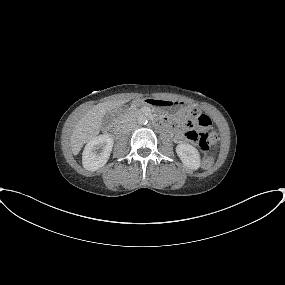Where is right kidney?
<instances>
[{
    "mask_svg": "<svg viewBox=\"0 0 285 285\" xmlns=\"http://www.w3.org/2000/svg\"><path fill=\"white\" fill-rule=\"evenodd\" d=\"M114 141L109 135H99L90 140L82 154L83 167L89 171H96L103 167L109 157L113 148ZM101 150L98 153L96 150Z\"/></svg>",
    "mask_w": 285,
    "mask_h": 285,
    "instance_id": "ca27d5eb",
    "label": "right kidney"
}]
</instances>
